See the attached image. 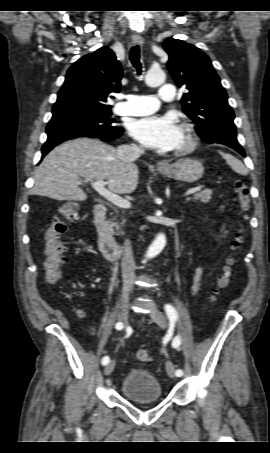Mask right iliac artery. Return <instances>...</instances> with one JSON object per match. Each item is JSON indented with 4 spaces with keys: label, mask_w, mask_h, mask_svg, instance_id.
I'll return each instance as SVG.
<instances>
[{
    "label": "right iliac artery",
    "mask_w": 270,
    "mask_h": 453,
    "mask_svg": "<svg viewBox=\"0 0 270 453\" xmlns=\"http://www.w3.org/2000/svg\"><path fill=\"white\" fill-rule=\"evenodd\" d=\"M115 327H116L117 330H121V329H123V323L122 322H118V323H116ZM109 361H110L109 356H104L102 358V364L103 365H107L109 363Z\"/></svg>",
    "instance_id": "1"
}]
</instances>
